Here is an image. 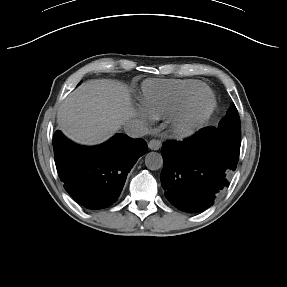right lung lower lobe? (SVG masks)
I'll list each match as a JSON object with an SVG mask.
<instances>
[{
  "instance_id": "obj_1",
  "label": "right lung lower lobe",
  "mask_w": 287,
  "mask_h": 287,
  "mask_svg": "<svg viewBox=\"0 0 287 287\" xmlns=\"http://www.w3.org/2000/svg\"><path fill=\"white\" fill-rule=\"evenodd\" d=\"M53 149L65 190L79 204L97 210L109 207L119 197L128 172L148 146L141 138L116 134L101 145L86 147L56 131Z\"/></svg>"
}]
</instances>
